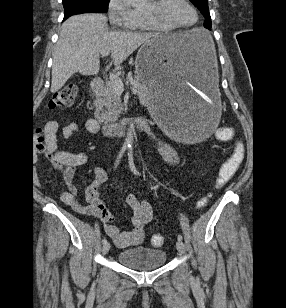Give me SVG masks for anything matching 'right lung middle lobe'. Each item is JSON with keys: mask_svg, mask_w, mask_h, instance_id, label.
I'll return each instance as SVG.
<instances>
[{"mask_svg": "<svg viewBox=\"0 0 286 308\" xmlns=\"http://www.w3.org/2000/svg\"><path fill=\"white\" fill-rule=\"evenodd\" d=\"M110 0H63L64 19L78 13H104Z\"/></svg>", "mask_w": 286, "mask_h": 308, "instance_id": "dd1d6c3e", "label": "right lung middle lobe"}]
</instances>
